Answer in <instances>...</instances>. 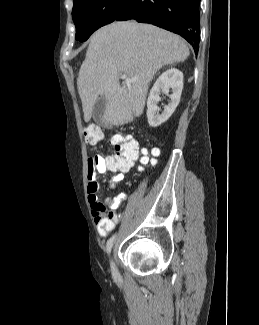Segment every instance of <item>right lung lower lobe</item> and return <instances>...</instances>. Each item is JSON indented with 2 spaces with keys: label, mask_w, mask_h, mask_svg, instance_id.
Here are the masks:
<instances>
[{
  "label": "right lung lower lobe",
  "mask_w": 259,
  "mask_h": 325,
  "mask_svg": "<svg viewBox=\"0 0 259 325\" xmlns=\"http://www.w3.org/2000/svg\"><path fill=\"white\" fill-rule=\"evenodd\" d=\"M132 19L177 33L198 52L200 0H127L114 21Z\"/></svg>",
  "instance_id": "obj_1"
}]
</instances>
